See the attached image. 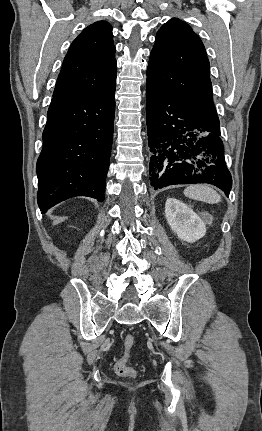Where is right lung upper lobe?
I'll return each instance as SVG.
<instances>
[{
    "instance_id": "cb5924a9",
    "label": "right lung upper lobe",
    "mask_w": 262,
    "mask_h": 431,
    "mask_svg": "<svg viewBox=\"0 0 262 431\" xmlns=\"http://www.w3.org/2000/svg\"><path fill=\"white\" fill-rule=\"evenodd\" d=\"M112 27L98 21L73 41L64 58L53 98H103L116 88Z\"/></svg>"
}]
</instances>
